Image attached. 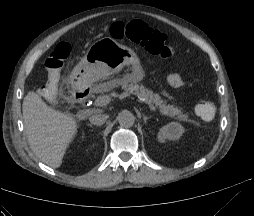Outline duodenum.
<instances>
[{
	"instance_id": "duodenum-1",
	"label": "duodenum",
	"mask_w": 254,
	"mask_h": 216,
	"mask_svg": "<svg viewBox=\"0 0 254 216\" xmlns=\"http://www.w3.org/2000/svg\"><path fill=\"white\" fill-rule=\"evenodd\" d=\"M89 92H90L89 87L79 89L75 93L76 100L79 101V102H85L87 100L88 96H89Z\"/></svg>"
}]
</instances>
